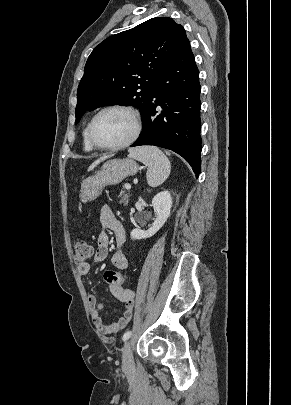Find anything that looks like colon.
<instances>
[{"label": "colon", "mask_w": 291, "mask_h": 405, "mask_svg": "<svg viewBox=\"0 0 291 405\" xmlns=\"http://www.w3.org/2000/svg\"><path fill=\"white\" fill-rule=\"evenodd\" d=\"M75 261L78 266L84 265L93 255L92 246L85 240H76L74 243ZM105 280L111 285H123L126 282V276L109 270L105 272Z\"/></svg>", "instance_id": "5ec220e1"}]
</instances>
